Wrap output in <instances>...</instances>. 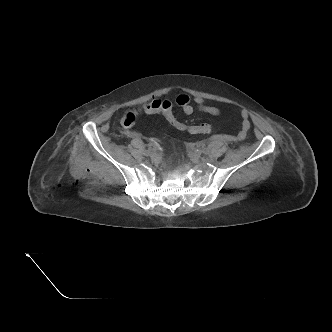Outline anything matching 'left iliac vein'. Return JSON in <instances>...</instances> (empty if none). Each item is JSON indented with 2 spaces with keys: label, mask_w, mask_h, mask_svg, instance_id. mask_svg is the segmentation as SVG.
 Segmentation results:
<instances>
[{
  "label": "left iliac vein",
  "mask_w": 332,
  "mask_h": 332,
  "mask_svg": "<svg viewBox=\"0 0 332 332\" xmlns=\"http://www.w3.org/2000/svg\"><path fill=\"white\" fill-rule=\"evenodd\" d=\"M189 155L193 162H198L201 160V156L199 154H197L196 152H190Z\"/></svg>",
  "instance_id": "4c4485c4"
}]
</instances>
